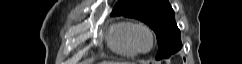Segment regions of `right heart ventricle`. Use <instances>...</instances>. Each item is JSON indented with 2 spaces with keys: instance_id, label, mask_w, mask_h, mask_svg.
I'll list each match as a JSON object with an SVG mask.
<instances>
[{
  "instance_id": "obj_1",
  "label": "right heart ventricle",
  "mask_w": 242,
  "mask_h": 64,
  "mask_svg": "<svg viewBox=\"0 0 242 64\" xmlns=\"http://www.w3.org/2000/svg\"><path fill=\"white\" fill-rule=\"evenodd\" d=\"M133 23L127 20L112 24L106 40L108 47L116 54L124 57H135L138 53L129 42L128 33Z\"/></svg>"
}]
</instances>
